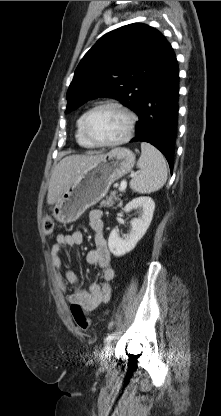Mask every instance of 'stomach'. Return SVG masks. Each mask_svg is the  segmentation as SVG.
I'll return each mask as SVG.
<instances>
[{
    "label": "stomach",
    "mask_w": 221,
    "mask_h": 416,
    "mask_svg": "<svg viewBox=\"0 0 221 416\" xmlns=\"http://www.w3.org/2000/svg\"><path fill=\"white\" fill-rule=\"evenodd\" d=\"M135 164L134 153L114 148L98 162L76 176L53 208V217L61 223L76 221L88 208L103 199L110 186L127 174Z\"/></svg>",
    "instance_id": "0dacf381"
}]
</instances>
